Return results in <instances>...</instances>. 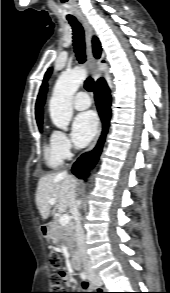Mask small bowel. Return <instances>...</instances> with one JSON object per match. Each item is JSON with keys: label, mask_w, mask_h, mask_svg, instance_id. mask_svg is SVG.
<instances>
[{"label": "small bowel", "mask_w": 170, "mask_h": 293, "mask_svg": "<svg viewBox=\"0 0 170 293\" xmlns=\"http://www.w3.org/2000/svg\"><path fill=\"white\" fill-rule=\"evenodd\" d=\"M68 285L70 287H75L76 286L75 280L74 279H69L68 280ZM82 285H83V288L84 289H91V287L89 286V284L87 282H85V281L82 283ZM90 293H99V292L96 291V290H92V292H90Z\"/></svg>", "instance_id": "obj_1"}]
</instances>
